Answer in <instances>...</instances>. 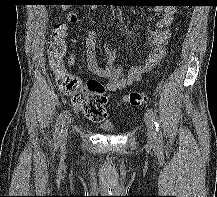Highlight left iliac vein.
<instances>
[{"instance_id":"obj_1","label":"left iliac vein","mask_w":217,"mask_h":197,"mask_svg":"<svg viewBox=\"0 0 217 197\" xmlns=\"http://www.w3.org/2000/svg\"><path fill=\"white\" fill-rule=\"evenodd\" d=\"M145 123L147 127L148 142L150 144H154L156 142V134H155L153 122L151 118L148 116V114L145 115Z\"/></svg>"}]
</instances>
